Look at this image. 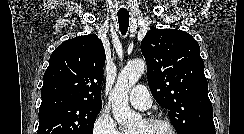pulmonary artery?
Instances as JSON below:
<instances>
[{"mask_svg": "<svg viewBox=\"0 0 244 134\" xmlns=\"http://www.w3.org/2000/svg\"><path fill=\"white\" fill-rule=\"evenodd\" d=\"M129 101L133 107L139 110H146L152 104L149 91L144 85H137L131 90Z\"/></svg>", "mask_w": 244, "mask_h": 134, "instance_id": "1", "label": "pulmonary artery"}]
</instances>
